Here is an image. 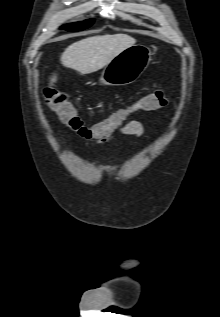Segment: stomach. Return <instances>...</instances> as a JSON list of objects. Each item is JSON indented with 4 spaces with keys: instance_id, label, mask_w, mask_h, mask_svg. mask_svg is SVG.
<instances>
[{
    "instance_id": "stomach-1",
    "label": "stomach",
    "mask_w": 220,
    "mask_h": 317,
    "mask_svg": "<svg viewBox=\"0 0 220 317\" xmlns=\"http://www.w3.org/2000/svg\"><path fill=\"white\" fill-rule=\"evenodd\" d=\"M151 61V51L144 45H133L114 57L103 69L100 82L121 86L135 82Z\"/></svg>"
}]
</instances>
